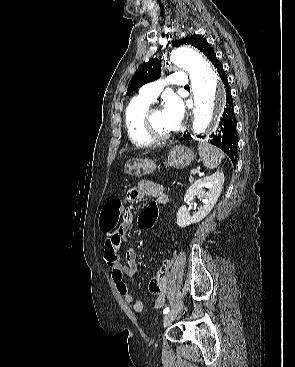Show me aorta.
<instances>
[{"instance_id":"aorta-1","label":"aorta","mask_w":295,"mask_h":367,"mask_svg":"<svg viewBox=\"0 0 295 367\" xmlns=\"http://www.w3.org/2000/svg\"><path fill=\"white\" fill-rule=\"evenodd\" d=\"M170 62L185 68L190 74L194 95L192 128L195 134H203L223 106L224 91L219 76L202 55L189 48L180 47L174 50Z\"/></svg>"}]
</instances>
